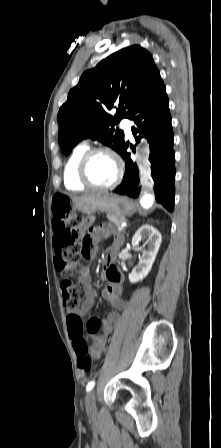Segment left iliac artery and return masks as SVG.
Segmentation results:
<instances>
[{
    "mask_svg": "<svg viewBox=\"0 0 221 448\" xmlns=\"http://www.w3.org/2000/svg\"><path fill=\"white\" fill-rule=\"evenodd\" d=\"M94 385H95V382H94V381L88 383V385H87V387H86V390H87V391H90L91 389H93Z\"/></svg>",
    "mask_w": 221,
    "mask_h": 448,
    "instance_id": "1",
    "label": "left iliac artery"
}]
</instances>
